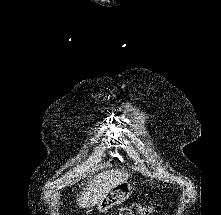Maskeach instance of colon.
<instances>
[{
	"label": "colon",
	"instance_id": "5ec220e1",
	"mask_svg": "<svg viewBox=\"0 0 221 215\" xmlns=\"http://www.w3.org/2000/svg\"><path fill=\"white\" fill-rule=\"evenodd\" d=\"M158 211V208L146 206L137 203L130 204L118 210L116 215H152Z\"/></svg>",
	"mask_w": 221,
	"mask_h": 215
}]
</instances>
